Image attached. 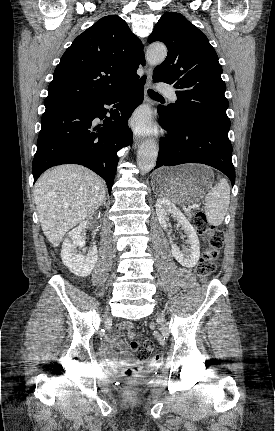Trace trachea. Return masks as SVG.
<instances>
[{
	"instance_id": "1",
	"label": "trachea",
	"mask_w": 275,
	"mask_h": 431,
	"mask_svg": "<svg viewBox=\"0 0 275 431\" xmlns=\"http://www.w3.org/2000/svg\"><path fill=\"white\" fill-rule=\"evenodd\" d=\"M148 94L153 97H162L160 94L154 92L153 90H148Z\"/></svg>"
}]
</instances>
